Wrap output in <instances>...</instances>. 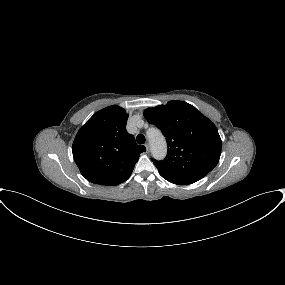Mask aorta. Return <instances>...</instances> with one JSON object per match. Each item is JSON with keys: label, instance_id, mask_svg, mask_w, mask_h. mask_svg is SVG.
<instances>
[{"label": "aorta", "instance_id": "1", "mask_svg": "<svg viewBox=\"0 0 285 285\" xmlns=\"http://www.w3.org/2000/svg\"><path fill=\"white\" fill-rule=\"evenodd\" d=\"M151 153L157 160H161L166 156L167 145L163 134L157 128H151L147 132Z\"/></svg>", "mask_w": 285, "mask_h": 285}]
</instances>
